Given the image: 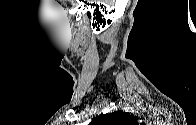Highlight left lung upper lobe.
Here are the masks:
<instances>
[{"mask_svg": "<svg viewBox=\"0 0 196 125\" xmlns=\"http://www.w3.org/2000/svg\"><path fill=\"white\" fill-rule=\"evenodd\" d=\"M94 125H136V119L129 113L117 111L102 114L92 121Z\"/></svg>", "mask_w": 196, "mask_h": 125, "instance_id": "left-lung-upper-lobe-1", "label": "left lung upper lobe"}]
</instances>
